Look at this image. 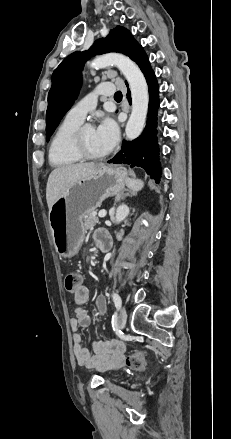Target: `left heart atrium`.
I'll list each match as a JSON object with an SVG mask.
<instances>
[{
	"label": "left heart atrium",
	"instance_id": "left-heart-atrium-1",
	"mask_svg": "<svg viewBox=\"0 0 231 439\" xmlns=\"http://www.w3.org/2000/svg\"><path fill=\"white\" fill-rule=\"evenodd\" d=\"M95 136L105 153L110 152L116 145L119 137L116 122L109 117L103 118L95 129Z\"/></svg>",
	"mask_w": 231,
	"mask_h": 439
}]
</instances>
